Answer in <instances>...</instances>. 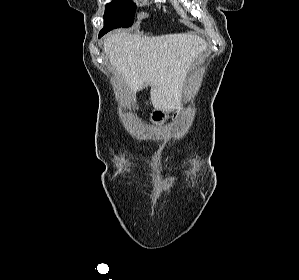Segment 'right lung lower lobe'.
Wrapping results in <instances>:
<instances>
[{"instance_id": "1", "label": "right lung lower lobe", "mask_w": 299, "mask_h": 280, "mask_svg": "<svg viewBox=\"0 0 299 280\" xmlns=\"http://www.w3.org/2000/svg\"><path fill=\"white\" fill-rule=\"evenodd\" d=\"M112 30L111 27L104 26V28L99 33V38L106 34L108 31Z\"/></svg>"}]
</instances>
